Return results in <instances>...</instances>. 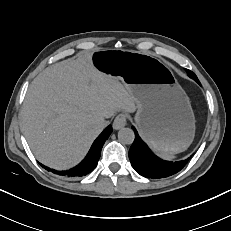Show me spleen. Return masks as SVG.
<instances>
[{
  "instance_id": "spleen-1",
  "label": "spleen",
  "mask_w": 231,
  "mask_h": 231,
  "mask_svg": "<svg viewBox=\"0 0 231 231\" xmlns=\"http://www.w3.org/2000/svg\"><path fill=\"white\" fill-rule=\"evenodd\" d=\"M161 156L164 158V159H173L174 156L172 154H165V153H162Z\"/></svg>"
}]
</instances>
